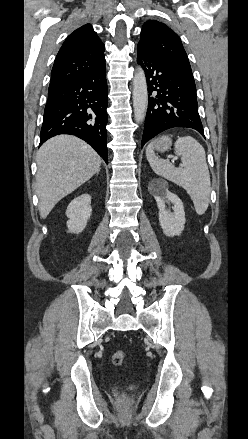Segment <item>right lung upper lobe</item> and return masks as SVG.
<instances>
[{
	"label": "right lung upper lobe",
	"instance_id": "1",
	"mask_svg": "<svg viewBox=\"0 0 248 439\" xmlns=\"http://www.w3.org/2000/svg\"><path fill=\"white\" fill-rule=\"evenodd\" d=\"M105 46L90 24L71 33L60 48L51 72L49 91L105 64Z\"/></svg>",
	"mask_w": 248,
	"mask_h": 439
}]
</instances>
